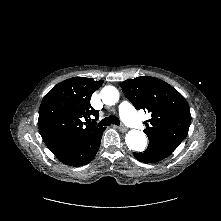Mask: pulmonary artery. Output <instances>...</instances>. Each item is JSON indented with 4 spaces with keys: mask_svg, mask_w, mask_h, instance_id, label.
Here are the masks:
<instances>
[{
    "mask_svg": "<svg viewBox=\"0 0 221 221\" xmlns=\"http://www.w3.org/2000/svg\"><path fill=\"white\" fill-rule=\"evenodd\" d=\"M119 112L123 121L128 124L129 126L135 128H143L144 122L143 120L137 115L132 105L127 101H122L119 104Z\"/></svg>",
    "mask_w": 221,
    "mask_h": 221,
    "instance_id": "1",
    "label": "pulmonary artery"
}]
</instances>
